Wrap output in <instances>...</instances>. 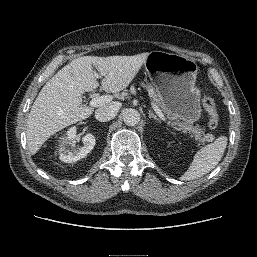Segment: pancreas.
I'll use <instances>...</instances> for the list:
<instances>
[{
	"mask_svg": "<svg viewBox=\"0 0 257 257\" xmlns=\"http://www.w3.org/2000/svg\"><path fill=\"white\" fill-rule=\"evenodd\" d=\"M142 85L149 92L153 102L161 108L164 114L172 121L174 126L179 127L184 133H191V137H194L198 146L204 145L207 142L206 135L200 127L193 126L188 122H179L178 118L168 110L161 95L158 93L154 86L148 83Z\"/></svg>",
	"mask_w": 257,
	"mask_h": 257,
	"instance_id": "1",
	"label": "pancreas"
}]
</instances>
